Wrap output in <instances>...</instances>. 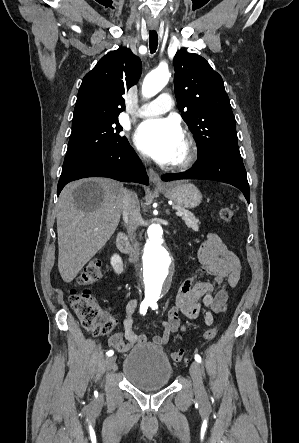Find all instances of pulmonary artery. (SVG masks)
I'll use <instances>...</instances> for the list:
<instances>
[{"mask_svg":"<svg viewBox=\"0 0 299 443\" xmlns=\"http://www.w3.org/2000/svg\"><path fill=\"white\" fill-rule=\"evenodd\" d=\"M173 107V99L169 93H161L157 99L143 105L139 111V117H152L163 114Z\"/></svg>","mask_w":299,"mask_h":443,"instance_id":"pulmonary-artery-1","label":"pulmonary artery"}]
</instances>
